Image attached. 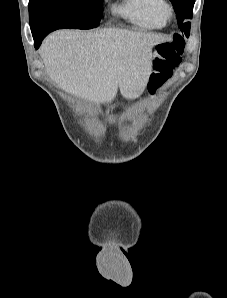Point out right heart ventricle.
Wrapping results in <instances>:
<instances>
[{
  "mask_svg": "<svg viewBox=\"0 0 227 298\" xmlns=\"http://www.w3.org/2000/svg\"><path fill=\"white\" fill-rule=\"evenodd\" d=\"M165 0H123L115 12L135 26L145 29H161L167 25Z\"/></svg>",
  "mask_w": 227,
  "mask_h": 298,
  "instance_id": "e07e8e85",
  "label": "right heart ventricle"
}]
</instances>
